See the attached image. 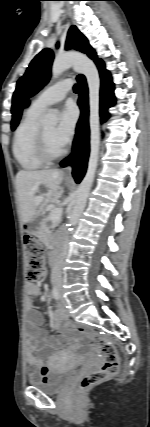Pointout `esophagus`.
Here are the masks:
<instances>
[{"instance_id":"1","label":"esophagus","mask_w":150,"mask_h":427,"mask_svg":"<svg viewBox=\"0 0 150 427\" xmlns=\"http://www.w3.org/2000/svg\"><path fill=\"white\" fill-rule=\"evenodd\" d=\"M64 174L67 178H72V166L71 165H68L66 167Z\"/></svg>"}]
</instances>
